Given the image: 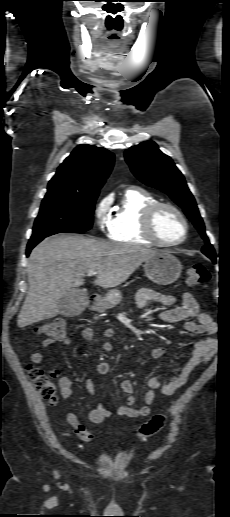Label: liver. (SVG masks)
Here are the masks:
<instances>
[{"instance_id":"6515ba94","label":"liver","mask_w":230,"mask_h":517,"mask_svg":"<svg viewBox=\"0 0 230 517\" xmlns=\"http://www.w3.org/2000/svg\"><path fill=\"white\" fill-rule=\"evenodd\" d=\"M156 253L137 245L104 242L78 235L62 234L43 240L29 257V289L18 315V327L58 315L59 300L72 288L84 284L88 270L97 272L95 285L116 287Z\"/></svg>"}]
</instances>
